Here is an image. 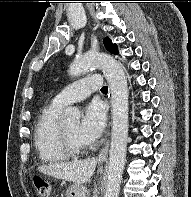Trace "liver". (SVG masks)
<instances>
[{
	"mask_svg": "<svg viewBox=\"0 0 191 197\" xmlns=\"http://www.w3.org/2000/svg\"><path fill=\"white\" fill-rule=\"evenodd\" d=\"M97 165L96 158H89L74 162H60L38 167V171L49 176L84 184L93 175Z\"/></svg>",
	"mask_w": 191,
	"mask_h": 197,
	"instance_id": "6515ba94",
	"label": "liver"
}]
</instances>
